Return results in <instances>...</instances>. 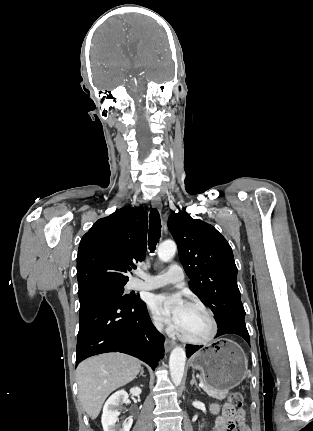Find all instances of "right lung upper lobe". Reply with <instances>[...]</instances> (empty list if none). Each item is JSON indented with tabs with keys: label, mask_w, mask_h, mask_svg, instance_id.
<instances>
[{
	"label": "right lung upper lobe",
	"mask_w": 313,
	"mask_h": 431,
	"mask_svg": "<svg viewBox=\"0 0 313 431\" xmlns=\"http://www.w3.org/2000/svg\"><path fill=\"white\" fill-rule=\"evenodd\" d=\"M148 214L123 207L99 219L82 237L77 255L79 296L126 284L127 272L145 258Z\"/></svg>",
	"instance_id": "obj_1"
}]
</instances>
